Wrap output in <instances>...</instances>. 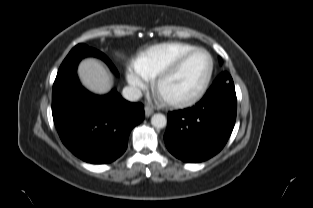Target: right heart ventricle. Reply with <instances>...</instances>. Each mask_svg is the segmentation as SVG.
<instances>
[{
  "instance_id": "obj_1",
  "label": "right heart ventricle",
  "mask_w": 313,
  "mask_h": 208,
  "mask_svg": "<svg viewBox=\"0 0 313 208\" xmlns=\"http://www.w3.org/2000/svg\"><path fill=\"white\" fill-rule=\"evenodd\" d=\"M196 47L182 42L154 45L140 54L134 63L135 70L147 79L157 77L169 68L178 57Z\"/></svg>"
}]
</instances>
